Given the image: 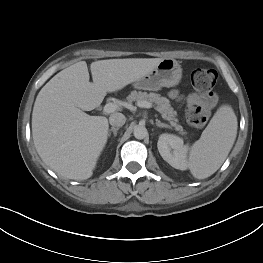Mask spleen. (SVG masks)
<instances>
[{
  "mask_svg": "<svg viewBox=\"0 0 263 263\" xmlns=\"http://www.w3.org/2000/svg\"><path fill=\"white\" fill-rule=\"evenodd\" d=\"M237 134V117L229 105L221 106L191 147L188 167L197 179L215 173L233 146Z\"/></svg>",
  "mask_w": 263,
  "mask_h": 263,
  "instance_id": "spleen-1",
  "label": "spleen"
}]
</instances>
